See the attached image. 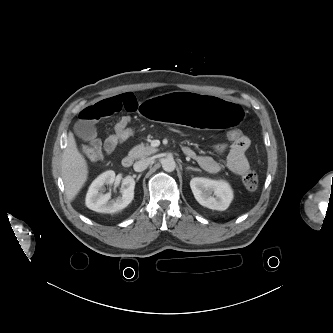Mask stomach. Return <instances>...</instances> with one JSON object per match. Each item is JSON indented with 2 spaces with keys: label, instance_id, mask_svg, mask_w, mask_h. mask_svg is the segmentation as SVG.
Returning a JSON list of instances; mask_svg holds the SVG:
<instances>
[{
  "label": "stomach",
  "instance_id": "1",
  "mask_svg": "<svg viewBox=\"0 0 333 333\" xmlns=\"http://www.w3.org/2000/svg\"><path fill=\"white\" fill-rule=\"evenodd\" d=\"M140 112L150 122L214 133L239 128L247 119L242 104L200 93L157 94L143 102Z\"/></svg>",
  "mask_w": 333,
  "mask_h": 333
}]
</instances>
